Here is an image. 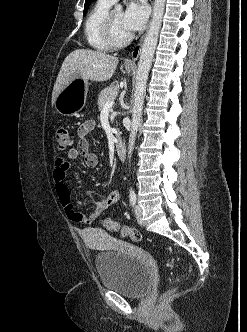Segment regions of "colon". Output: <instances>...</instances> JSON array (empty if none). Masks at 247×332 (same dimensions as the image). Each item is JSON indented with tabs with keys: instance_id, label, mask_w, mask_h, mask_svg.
<instances>
[{
	"instance_id": "colon-1",
	"label": "colon",
	"mask_w": 247,
	"mask_h": 332,
	"mask_svg": "<svg viewBox=\"0 0 247 332\" xmlns=\"http://www.w3.org/2000/svg\"><path fill=\"white\" fill-rule=\"evenodd\" d=\"M53 141L56 149L59 151L67 150L73 145L72 136L68 132L67 128L64 126H57L54 128ZM104 227L109 231L119 232L121 233L122 236L132 241H139L141 238L140 232L137 229L127 226H122L118 222L112 219H106L104 221ZM172 293L173 290L167 291L163 295V299H167Z\"/></svg>"
}]
</instances>
